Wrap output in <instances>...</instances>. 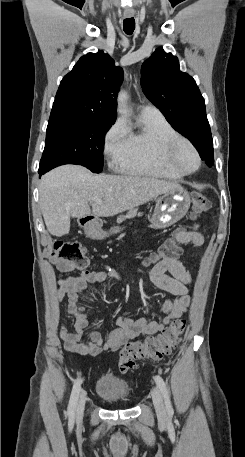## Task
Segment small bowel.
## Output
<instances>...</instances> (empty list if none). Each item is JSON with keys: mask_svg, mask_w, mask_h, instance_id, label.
<instances>
[{"mask_svg": "<svg viewBox=\"0 0 245 457\" xmlns=\"http://www.w3.org/2000/svg\"><path fill=\"white\" fill-rule=\"evenodd\" d=\"M198 228L199 224H195L192 230H179L176 233V240L182 245L193 244L198 248L202 247L204 238ZM51 263L61 272H70L75 269V265L69 261L53 258ZM108 277L121 279L117 271L108 268L101 271L84 270L80 274L57 280L58 298L67 299V312L74 318L73 331H69L64 325L59 327L60 337L68 352L97 356L102 352L116 351L138 336H151L161 332L171 322L187 312L190 306L191 298L188 288L192 281L190 273L176 258L164 259L156 263L149 272V278L157 288L175 296L173 299L163 302L164 317L162 320H149L146 317L134 320L122 315L116 320V328L109 333L106 339H103L97 331H86L88 315L80 302V294L89 283L102 282Z\"/></svg>", "mask_w": 245, "mask_h": 457, "instance_id": "c3829d8e", "label": "small bowel"}]
</instances>
